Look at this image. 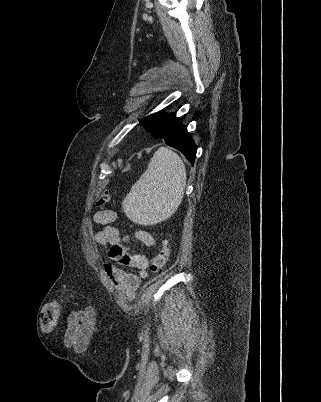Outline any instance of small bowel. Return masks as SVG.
I'll return each instance as SVG.
<instances>
[{
    "mask_svg": "<svg viewBox=\"0 0 321 402\" xmlns=\"http://www.w3.org/2000/svg\"><path fill=\"white\" fill-rule=\"evenodd\" d=\"M116 215L111 210H99L94 213L93 221L103 226V230L94 236L97 246L107 249L111 261L103 265L104 273L120 295L131 300L135 296L141 282L148 277V258L141 254L132 253L125 245L127 237L122 235L115 226ZM135 238L145 247H152L155 238L146 230L139 229ZM118 265H125L133 272L125 271ZM94 305L88 302L84 307H76L73 314L65 317V340L69 346L74 347L75 353H86L88 340L92 337L95 326L93 314ZM81 320V322L79 321Z\"/></svg>",
    "mask_w": 321,
    "mask_h": 402,
    "instance_id": "obj_1",
    "label": "small bowel"
}]
</instances>
